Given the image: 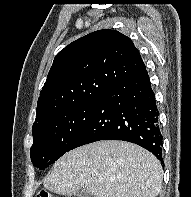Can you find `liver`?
I'll use <instances>...</instances> for the list:
<instances>
[{"label":"liver","instance_id":"6515ba94","mask_svg":"<svg viewBox=\"0 0 191 197\" xmlns=\"http://www.w3.org/2000/svg\"><path fill=\"white\" fill-rule=\"evenodd\" d=\"M163 169L159 160L136 144L103 140L65 153L44 178L50 192L93 197H156Z\"/></svg>","mask_w":191,"mask_h":197}]
</instances>
